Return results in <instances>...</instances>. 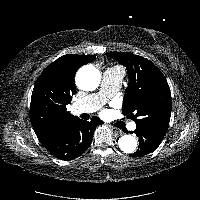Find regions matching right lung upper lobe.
Wrapping results in <instances>:
<instances>
[{"mask_svg": "<svg viewBox=\"0 0 200 200\" xmlns=\"http://www.w3.org/2000/svg\"><path fill=\"white\" fill-rule=\"evenodd\" d=\"M93 60V55L67 54L51 63L39 76L30 105V121L39 140L55 126L76 117L66 110L71 96L76 93L75 73Z\"/></svg>", "mask_w": 200, "mask_h": 200, "instance_id": "obj_1", "label": "right lung upper lobe"}]
</instances>
